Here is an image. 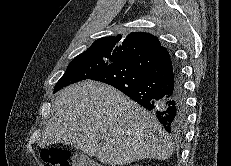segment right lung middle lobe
Returning a JSON list of instances; mask_svg holds the SVG:
<instances>
[{
	"instance_id": "right-lung-middle-lobe-1",
	"label": "right lung middle lobe",
	"mask_w": 231,
	"mask_h": 166,
	"mask_svg": "<svg viewBox=\"0 0 231 166\" xmlns=\"http://www.w3.org/2000/svg\"><path fill=\"white\" fill-rule=\"evenodd\" d=\"M119 60L116 56L96 51L87 50L81 53L70 62L66 72L55 85L54 93L69 84L90 78Z\"/></svg>"
}]
</instances>
